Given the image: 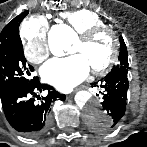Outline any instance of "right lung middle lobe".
Segmentation results:
<instances>
[{
	"label": "right lung middle lobe",
	"instance_id": "1",
	"mask_svg": "<svg viewBox=\"0 0 147 147\" xmlns=\"http://www.w3.org/2000/svg\"><path fill=\"white\" fill-rule=\"evenodd\" d=\"M28 11L15 17L0 34V93L12 88L26 86L31 65L26 64L23 46L19 36V25Z\"/></svg>",
	"mask_w": 147,
	"mask_h": 147
}]
</instances>
